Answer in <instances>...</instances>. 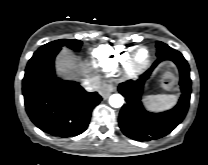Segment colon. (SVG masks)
I'll list each match as a JSON object with an SVG mask.
<instances>
[{"mask_svg":"<svg viewBox=\"0 0 208 165\" xmlns=\"http://www.w3.org/2000/svg\"><path fill=\"white\" fill-rule=\"evenodd\" d=\"M174 85V78L170 74H166L162 80V86L165 89H170Z\"/></svg>","mask_w":208,"mask_h":165,"instance_id":"colon-1","label":"colon"}]
</instances>
